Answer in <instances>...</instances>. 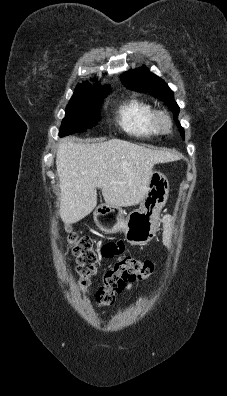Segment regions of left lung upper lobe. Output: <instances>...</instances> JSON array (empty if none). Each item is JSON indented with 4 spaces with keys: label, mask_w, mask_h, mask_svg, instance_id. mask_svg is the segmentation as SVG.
<instances>
[{
    "label": "left lung upper lobe",
    "mask_w": 227,
    "mask_h": 396,
    "mask_svg": "<svg viewBox=\"0 0 227 396\" xmlns=\"http://www.w3.org/2000/svg\"><path fill=\"white\" fill-rule=\"evenodd\" d=\"M123 83L131 90L150 93L151 95L164 101L173 112L174 119L180 128L184 139V129L178 122L179 106L174 100V95L168 85L147 68L142 67L136 70L125 72L121 76Z\"/></svg>",
    "instance_id": "1"
}]
</instances>
